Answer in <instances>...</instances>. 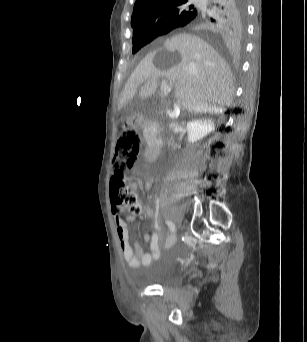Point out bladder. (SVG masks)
Listing matches in <instances>:
<instances>
[{
    "label": "bladder",
    "mask_w": 307,
    "mask_h": 342,
    "mask_svg": "<svg viewBox=\"0 0 307 342\" xmlns=\"http://www.w3.org/2000/svg\"><path fill=\"white\" fill-rule=\"evenodd\" d=\"M148 279L152 285L166 287L177 283L179 275L170 263L161 259L153 265Z\"/></svg>",
    "instance_id": "31cf9c89"
}]
</instances>
